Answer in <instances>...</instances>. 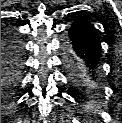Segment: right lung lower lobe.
<instances>
[{"label":"right lung lower lobe","instance_id":"1","mask_svg":"<svg viewBox=\"0 0 122 123\" xmlns=\"http://www.w3.org/2000/svg\"><path fill=\"white\" fill-rule=\"evenodd\" d=\"M23 67L21 42L10 34L1 35V96L12 98Z\"/></svg>","mask_w":122,"mask_h":123}]
</instances>
